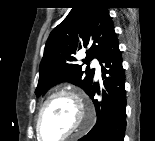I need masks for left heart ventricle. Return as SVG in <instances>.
Segmentation results:
<instances>
[{
  "label": "left heart ventricle",
  "mask_w": 155,
  "mask_h": 141,
  "mask_svg": "<svg viewBox=\"0 0 155 141\" xmlns=\"http://www.w3.org/2000/svg\"><path fill=\"white\" fill-rule=\"evenodd\" d=\"M79 123L78 108L67 97H57L45 107L40 129L44 140L54 141L72 131Z\"/></svg>",
  "instance_id": "left-heart-ventricle-1"
}]
</instances>
